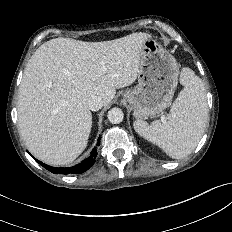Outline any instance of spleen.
Here are the masks:
<instances>
[{"instance_id":"obj_1","label":"spleen","mask_w":232,"mask_h":232,"mask_svg":"<svg viewBox=\"0 0 232 232\" xmlns=\"http://www.w3.org/2000/svg\"><path fill=\"white\" fill-rule=\"evenodd\" d=\"M184 88L173 102L167 121H135L134 129L174 159L189 155L200 141L208 120L206 91L202 80L190 68H183Z\"/></svg>"}]
</instances>
